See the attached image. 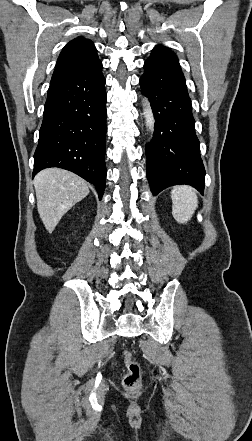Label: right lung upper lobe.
Here are the masks:
<instances>
[{"label": "right lung upper lobe", "instance_id": "cb5924a9", "mask_svg": "<svg viewBox=\"0 0 252 441\" xmlns=\"http://www.w3.org/2000/svg\"><path fill=\"white\" fill-rule=\"evenodd\" d=\"M100 62L93 42L78 37L70 41L61 51L51 82L90 68Z\"/></svg>", "mask_w": 252, "mask_h": 441}]
</instances>
